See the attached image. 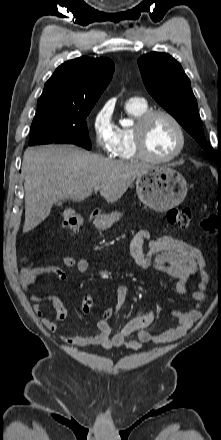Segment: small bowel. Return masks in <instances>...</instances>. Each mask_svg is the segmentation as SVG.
<instances>
[{
  "label": "small bowel",
  "instance_id": "c3829d8e",
  "mask_svg": "<svg viewBox=\"0 0 221 440\" xmlns=\"http://www.w3.org/2000/svg\"><path fill=\"white\" fill-rule=\"evenodd\" d=\"M148 246V252L144 248ZM126 251L130 258L142 268H151L155 271L176 278L178 280L176 292L185 294L193 279H197V287L192 295L195 301L194 308L190 311H172V315L177 319L178 324L162 332H151L146 330L155 319V314L149 312L136 316L129 320L123 328L117 332L112 331V321L117 312L125 305L129 288L120 285L116 289V305L112 309L111 320L106 321L101 318L97 322L98 333L88 336H68L60 335L61 340L75 347H88L101 345L105 349L126 348L138 350L143 344H164L175 341L184 336L192 327L194 322L202 316V306L207 298V284L209 275L205 270L204 258L199 249L172 236H162L150 239L149 232L141 229L129 241ZM63 265L70 269L74 274L85 273L89 268L86 259H75L71 256L62 257ZM54 275L58 281H64L67 277L66 272L55 265L34 267L29 264L21 271V284L25 291H29L30 286L36 283L42 275ZM35 314L41 318L44 326L51 332L58 330L57 322L66 319L68 311L63 301L56 294L35 295L31 294ZM49 302L54 308L53 319L43 316L41 309L42 303ZM136 335V338H132Z\"/></svg>",
  "mask_w": 221,
  "mask_h": 440
}]
</instances>
